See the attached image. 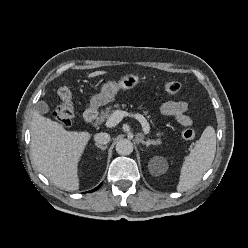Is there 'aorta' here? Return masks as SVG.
<instances>
[{
    "mask_svg": "<svg viewBox=\"0 0 248 248\" xmlns=\"http://www.w3.org/2000/svg\"><path fill=\"white\" fill-rule=\"evenodd\" d=\"M133 151V143L129 139H121L116 143V152L120 155H129Z\"/></svg>",
    "mask_w": 248,
    "mask_h": 248,
    "instance_id": "aorta-1",
    "label": "aorta"
}]
</instances>
